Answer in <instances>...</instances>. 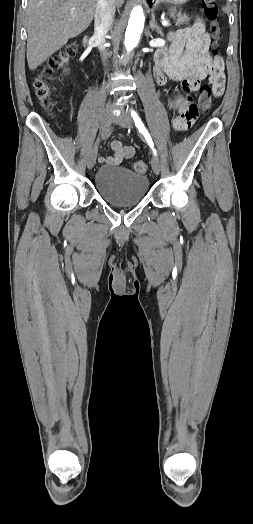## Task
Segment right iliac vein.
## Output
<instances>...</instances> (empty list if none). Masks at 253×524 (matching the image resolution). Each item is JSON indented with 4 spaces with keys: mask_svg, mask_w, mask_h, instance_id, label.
Segmentation results:
<instances>
[{
    "mask_svg": "<svg viewBox=\"0 0 253 524\" xmlns=\"http://www.w3.org/2000/svg\"><path fill=\"white\" fill-rule=\"evenodd\" d=\"M113 119V114L110 109H107L103 112L100 120V132L103 133L110 126ZM98 146L95 144L91 149L88 158H87V167L92 169L96 163Z\"/></svg>",
    "mask_w": 253,
    "mask_h": 524,
    "instance_id": "63e3f726",
    "label": "right iliac vein"
}]
</instances>
